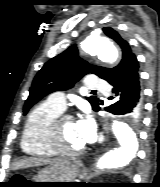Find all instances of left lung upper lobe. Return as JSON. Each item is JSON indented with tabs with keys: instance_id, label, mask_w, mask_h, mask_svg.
I'll return each instance as SVG.
<instances>
[{
	"instance_id": "left-lung-upper-lobe-1",
	"label": "left lung upper lobe",
	"mask_w": 160,
	"mask_h": 187,
	"mask_svg": "<svg viewBox=\"0 0 160 187\" xmlns=\"http://www.w3.org/2000/svg\"><path fill=\"white\" fill-rule=\"evenodd\" d=\"M104 33L117 43L122 51V60L114 68H104L87 63L78 56L76 46H71L63 53L48 61L37 73L33 80L30 94L24 105V114L28 112L31 106L37 103L47 94L54 91H63L71 88L75 82L84 75L93 73L107 82L112 81L119 76L128 61L134 54L129 44L120 36V34L111 27L103 28ZM94 111L99 110V99L95 96L88 97ZM129 120V119H128ZM130 124L137 126L138 123L129 120Z\"/></svg>"
}]
</instances>
